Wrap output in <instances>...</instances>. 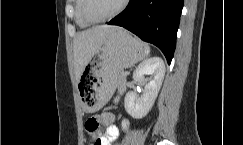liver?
Segmentation results:
<instances>
[{"label":"liver","mask_w":243,"mask_h":145,"mask_svg":"<svg viewBox=\"0 0 243 145\" xmlns=\"http://www.w3.org/2000/svg\"><path fill=\"white\" fill-rule=\"evenodd\" d=\"M121 27L99 25L78 32L73 42L75 78L79 82L86 65L97 53L104 40Z\"/></svg>","instance_id":"liver-1"}]
</instances>
